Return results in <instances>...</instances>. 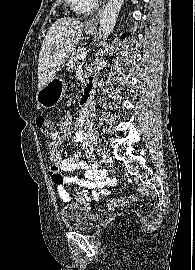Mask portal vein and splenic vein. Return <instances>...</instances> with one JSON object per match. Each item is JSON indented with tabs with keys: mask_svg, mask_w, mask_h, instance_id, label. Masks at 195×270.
Masks as SVG:
<instances>
[{
	"mask_svg": "<svg viewBox=\"0 0 195 270\" xmlns=\"http://www.w3.org/2000/svg\"><path fill=\"white\" fill-rule=\"evenodd\" d=\"M86 56H87V52H82V53H80V54L77 56V58H78V60H82V59H84Z\"/></svg>",
	"mask_w": 195,
	"mask_h": 270,
	"instance_id": "1",
	"label": "portal vein and splenic vein"
}]
</instances>
